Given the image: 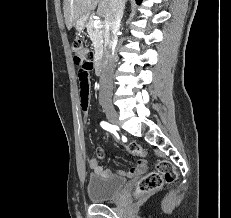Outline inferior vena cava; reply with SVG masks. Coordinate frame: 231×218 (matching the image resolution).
<instances>
[{
  "label": "inferior vena cava",
  "mask_w": 231,
  "mask_h": 218,
  "mask_svg": "<svg viewBox=\"0 0 231 218\" xmlns=\"http://www.w3.org/2000/svg\"><path fill=\"white\" fill-rule=\"evenodd\" d=\"M126 0H111L110 10L105 16V44L104 56L101 65L100 93L101 100L111 97L113 88L114 49L117 44V33L123 17Z\"/></svg>",
  "instance_id": "obj_1"
}]
</instances>
